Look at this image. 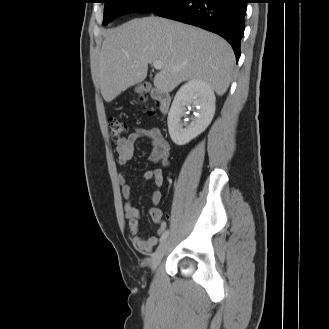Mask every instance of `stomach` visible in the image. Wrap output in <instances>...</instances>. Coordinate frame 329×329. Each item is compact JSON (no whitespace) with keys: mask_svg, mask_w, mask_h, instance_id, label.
<instances>
[{"mask_svg":"<svg viewBox=\"0 0 329 329\" xmlns=\"http://www.w3.org/2000/svg\"><path fill=\"white\" fill-rule=\"evenodd\" d=\"M142 90H143V87H141V86L136 88L137 92H141Z\"/></svg>","mask_w":329,"mask_h":329,"instance_id":"stomach-1","label":"stomach"}]
</instances>
